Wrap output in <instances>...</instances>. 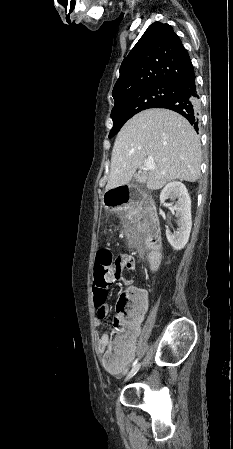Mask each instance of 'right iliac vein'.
I'll use <instances>...</instances> for the list:
<instances>
[{
  "instance_id": "right-iliac-vein-1",
  "label": "right iliac vein",
  "mask_w": 233,
  "mask_h": 449,
  "mask_svg": "<svg viewBox=\"0 0 233 449\" xmlns=\"http://www.w3.org/2000/svg\"><path fill=\"white\" fill-rule=\"evenodd\" d=\"M142 363L137 364L132 370L128 373V375L125 378V382L131 379L140 369Z\"/></svg>"
}]
</instances>
